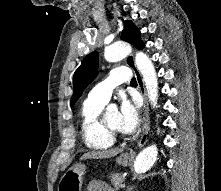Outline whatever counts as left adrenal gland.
Wrapping results in <instances>:
<instances>
[{
  "instance_id": "a2214340",
  "label": "left adrenal gland",
  "mask_w": 221,
  "mask_h": 191,
  "mask_svg": "<svg viewBox=\"0 0 221 191\" xmlns=\"http://www.w3.org/2000/svg\"><path fill=\"white\" fill-rule=\"evenodd\" d=\"M134 186H127L126 191H132Z\"/></svg>"
}]
</instances>
